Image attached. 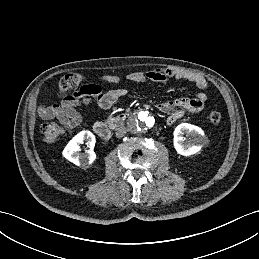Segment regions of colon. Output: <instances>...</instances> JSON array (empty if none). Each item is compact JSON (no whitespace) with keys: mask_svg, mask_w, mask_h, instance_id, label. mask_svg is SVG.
<instances>
[{"mask_svg":"<svg viewBox=\"0 0 259 259\" xmlns=\"http://www.w3.org/2000/svg\"><path fill=\"white\" fill-rule=\"evenodd\" d=\"M83 86H85L84 75L80 73H68L60 79L58 91L61 97H66ZM221 119V114L218 111H212L208 116V120L212 125H218L221 122ZM64 131V126L58 122H47L41 127L43 138L48 143L58 140L63 135Z\"/></svg>","mask_w":259,"mask_h":259,"instance_id":"colon-1","label":"colon"}]
</instances>
